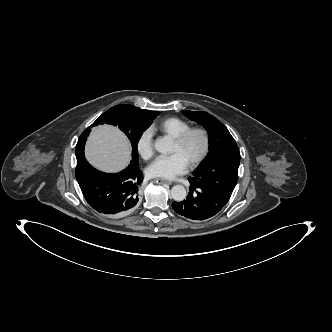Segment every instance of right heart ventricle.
<instances>
[{
  "instance_id": "e07e8e85",
  "label": "right heart ventricle",
  "mask_w": 332,
  "mask_h": 332,
  "mask_svg": "<svg viewBox=\"0 0 332 332\" xmlns=\"http://www.w3.org/2000/svg\"><path fill=\"white\" fill-rule=\"evenodd\" d=\"M188 128H190V123L188 121L180 117L172 116L159 121L151 128V130L159 131L172 138H176Z\"/></svg>"
}]
</instances>
